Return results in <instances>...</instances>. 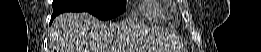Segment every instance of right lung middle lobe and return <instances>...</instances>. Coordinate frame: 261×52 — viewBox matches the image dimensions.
Returning <instances> with one entry per match:
<instances>
[{"mask_svg": "<svg viewBox=\"0 0 261 52\" xmlns=\"http://www.w3.org/2000/svg\"><path fill=\"white\" fill-rule=\"evenodd\" d=\"M124 0H54L53 13L89 12L101 20L117 17L125 11Z\"/></svg>", "mask_w": 261, "mask_h": 52, "instance_id": "obj_1", "label": "right lung middle lobe"}]
</instances>
